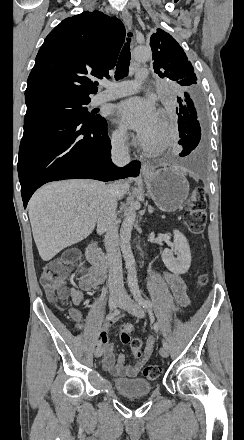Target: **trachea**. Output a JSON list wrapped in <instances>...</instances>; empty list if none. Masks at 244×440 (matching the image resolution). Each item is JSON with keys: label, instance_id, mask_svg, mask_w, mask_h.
Instances as JSON below:
<instances>
[{"label": "trachea", "instance_id": "trachea-1", "mask_svg": "<svg viewBox=\"0 0 244 440\" xmlns=\"http://www.w3.org/2000/svg\"><path fill=\"white\" fill-rule=\"evenodd\" d=\"M128 36L131 37L132 33H128ZM127 40L130 41V38H128ZM130 60H131L130 45L129 43H126V45L123 47L120 53L115 71V78L117 80L125 77L128 74Z\"/></svg>", "mask_w": 244, "mask_h": 440}]
</instances>
